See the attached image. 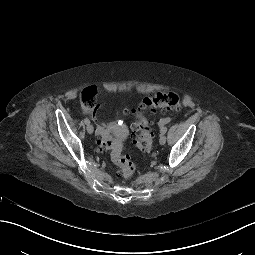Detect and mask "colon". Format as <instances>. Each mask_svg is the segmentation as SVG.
Instances as JSON below:
<instances>
[{"label": "colon", "instance_id": "obj_1", "mask_svg": "<svg viewBox=\"0 0 255 255\" xmlns=\"http://www.w3.org/2000/svg\"><path fill=\"white\" fill-rule=\"evenodd\" d=\"M96 90L93 87L84 89L81 93V102L86 110H92L95 105ZM181 103L175 93H157L145 97L136 110V121L132 125L133 143L143 152L151 151L153 147V132L150 123L145 116L147 110H159L161 112H177ZM101 144L112 149V160L118 168V175L125 180H130L136 171V164L123 154L117 141L105 136L101 139Z\"/></svg>", "mask_w": 255, "mask_h": 255}]
</instances>
